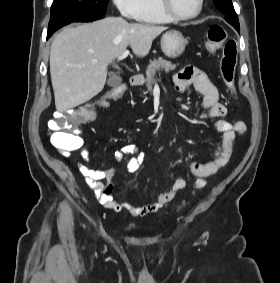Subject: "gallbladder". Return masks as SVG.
Wrapping results in <instances>:
<instances>
[{
  "mask_svg": "<svg viewBox=\"0 0 280 283\" xmlns=\"http://www.w3.org/2000/svg\"><path fill=\"white\" fill-rule=\"evenodd\" d=\"M122 79L120 76H118L117 74L111 72L109 74V78L107 80V85L110 87H117L121 84Z\"/></svg>",
  "mask_w": 280,
  "mask_h": 283,
  "instance_id": "obj_1",
  "label": "gallbladder"
}]
</instances>
